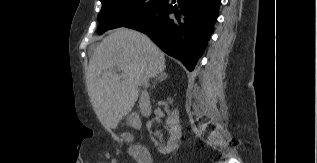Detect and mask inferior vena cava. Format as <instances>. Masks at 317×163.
<instances>
[{
	"instance_id": "obj_1",
	"label": "inferior vena cava",
	"mask_w": 317,
	"mask_h": 163,
	"mask_svg": "<svg viewBox=\"0 0 317 163\" xmlns=\"http://www.w3.org/2000/svg\"><path fill=\"white\" fill-rule=\"evenodd\" d=\"M142 85L145 87H148L149 85V77L146 76L143 78ZM139 107L143 115H149L151 111V106H150V99H149V94L146 90L141 92L140 100H139Z\"/></svg>"
}]
</instances>
